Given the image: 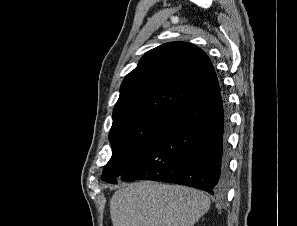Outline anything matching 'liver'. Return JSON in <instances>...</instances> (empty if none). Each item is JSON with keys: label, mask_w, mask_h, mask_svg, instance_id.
<instances>
[{"label": "liver", "mask_w": 297, "mask_h": 226, "mask_svg": "<svg viewBox=\"0 0 297 226\" xmlns=\"http://www.w3.org/2000/svg\"><path fill=\"white\" fill-rule=\"evenodd\" d=\"M209 208L201 191L151 181L124 185L110 200L113 226H193Z\"/></svg>", "instance_id": "liver-1"}]
</instances>
